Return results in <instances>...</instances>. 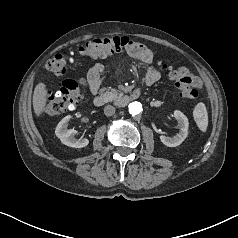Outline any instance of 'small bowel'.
Listing matches in <instances>:
<instances>
[{
	"mask_svg": "<svg viewBox=\"0 0 238 238\" xmlns=\"http://www.w3.org/2000/svg\"><path fill=\"white\" fill-rule=\"evenodd\" d=\"M127 53L130 57L140 60L145 64H151L154 59L153 51L142 43H138L134 49L127 51ZM105 57L106 56H103L101 58ZM103 71L104 65L101 63H96L87 72L86 80L84 82L89 86L90 90L93 93L98 90L101 84V74L103 73ZM160 77L161 75L156 69H154L153 67H148L145 71L143 81L146 85L150 86L157 82Z\"/></svg>",
	"mask_w": 238,
	"mask_h": 238,
	"instance_id": "1",
	"label": "small bowel"
}]
</instances>
